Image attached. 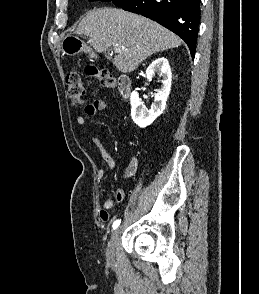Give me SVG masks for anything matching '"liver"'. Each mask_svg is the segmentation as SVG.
Wrapping results in <instances>:
<instances>
[{"mask_svg": "<svg viewBox=\"0 0 259 294\" xmlns=\"http://www.w3.org/2000/svg\"><path fill=\"white\" fill-rule=\"evenodd\" d=\"M74 33L86 35L88 44L98 53L106 52L111 46H122L124 49L113 60L122 73L132 72L147 57L182 43L177 35L160 24L116 8L87 12Z\"/></svg>", "mask_w": 259, "mask_h": 294, "instance_id": "obj_1", "label": "liver"}]
</instances>
